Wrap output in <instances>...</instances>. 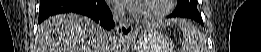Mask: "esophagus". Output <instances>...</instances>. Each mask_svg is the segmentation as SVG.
I'll return each instance as SVG.
<instances>
[{
  "label": "esophagus",
  "instance_id": "1",
  "mask_svg": "<svg viewBox=\"0 0 261 52\" xmlns=\"http://www.w3.org/2000/svg\"><path fill=\"white\" fill-rule=\"evenodd\" d=\"M118 33L120 38L127 39L132 35L133 28L130 23L124 21L119 24Z\"/></svg>",
  "mask_w": 261,
  "mask_h": 52
}]
</instances>
